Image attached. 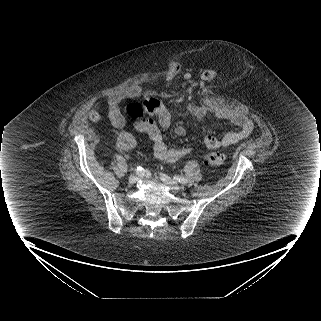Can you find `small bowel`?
Here are the masks:
<instances>
[{
	"label": "small bowel",
	"instance_id": "1",
	"mask_svg": "<svg viewBox=\"0 0 321 321\" xmlns=\"http://www.w3.org/2000/svg\"><path fill=\"white\" fill-rule=\"evenodd\" d=\"M134 91H120L111 95L107 100L108 117L112 125L116 128H123L126 120L120 112L119 104L124 99L132 97ZM144 110L148 115L144 122L134 127L135 132L146 134L153 143L154 156L161 162L174 163L186 156L189 148H168L163 141L160 127L169 128L172 122V114L164 103L157 98H150L144 102ZM211 108L207 104L189 105L185 112L195 118H203ZM218 119L227 121L238 127L235 131H230L221 137L207 135L204 139L208 149H218L236 144L251 135L254 129L253 122L242 112L232 109L219 108L215 111ZM174 132L177 136L183 137L186 130L182 125H176ZM137 145L135 133L133 131H122L117 138V146L120 150H131Z\"/></svg>",
	"mask_w": 321,
	"mask_h": 321
}]
</instances>
